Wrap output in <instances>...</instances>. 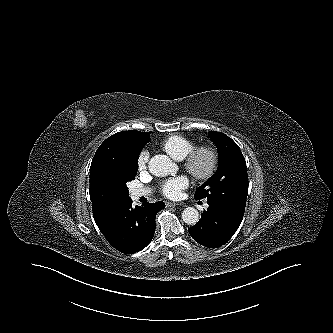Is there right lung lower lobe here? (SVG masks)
<instances>
[{"label":"right lung lower lobe","instance_id":"obj_1","mask_svg":"<svg viewBox=\"0 0 333 333\" xmlns=\"http://www.w3.org/2000/svg\"><path fill=\"white\" fill-rule=\"evenodd\" d=\"M165 208L161 201L132 207L131 198L120 204L100 229L118 251L132 254L144 249L155 232V216Z\"/></svg>","mask_w":333,"mask_h":333}]
</instances>
